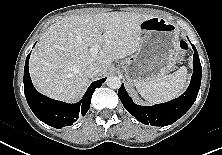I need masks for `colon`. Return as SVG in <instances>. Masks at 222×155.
I'll return each instance as SVG.
<instances>
[{
	"mask_svg": "<svg viewBox=\"0 0 222 155\" xmlns=\"http://www.w3.org/2000/svg\"><path fill=\"white\" fill-rule=\"evenodd\" d=\"M186 49H187V45H186L185 41L181 40V41L179 42V50H180L181 52H184Z\"/></svg>",
	"mask_w": 222,
	"mask_h": 155,
	"instance_id": "1",
	"label": "colon"
}]
</instances>
